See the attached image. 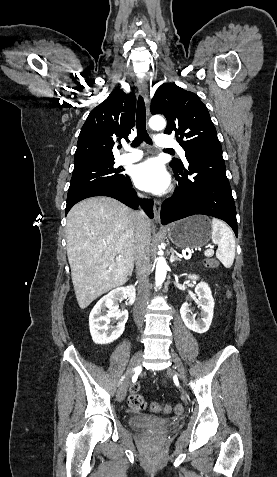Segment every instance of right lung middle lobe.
I'll return each instance as SVG.
<instances>
[{
  "mask_svg": "<svg viewBox=\"0 0 277 477\" xmlns=\"http://www.w3.org/2000/svg\"><path fill=\"white\" fill-rule=\"evenodd\" d=\"M114 161L96 162L74 167L67 198L77 192L101 183L122 184L128 176L114 167Z\"/></svg>",
  "mask_w": 277,
  "mask_h": 477,
  "instance_id": "1",
  "label": "right lung middle lobe"
}]
</instances>
